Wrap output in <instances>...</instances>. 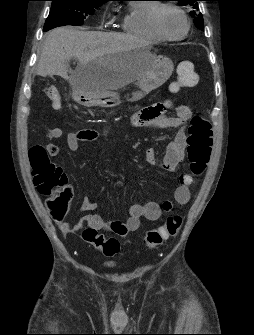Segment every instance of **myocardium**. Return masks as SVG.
Wrapping results in <instances>:
<instances>
[{
    "label": "myocardium",
    "instance_id": "f54148a6",
    "mask_svg": "<svg viewBox=\"0 0 254 335\" xmlns=\"http://www.w3.org/2000/svg\"><path fill=\"white\" fill-rule=\"evenodd\" d=\"M164 9L175 10L183 18L184 23H185V30L181 35L176 36V37H171V36L166 35L161 30L160 14ZM151 26H152L153 31L156 33V35L159 36L162 40L179 41V40L184 39L188 35V33L190 31L191 23H190V20H189L187 14L185 13V11L182 8H180L179 6H177L175 4H172V3H160L154 8V10L151 14Z\"/></svg>",
    "mask_w": 254,
    "mask_h": 335
}]
</instances>
